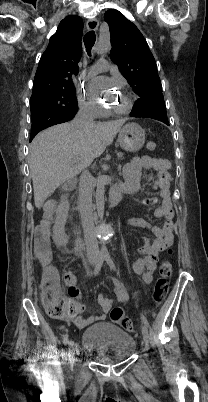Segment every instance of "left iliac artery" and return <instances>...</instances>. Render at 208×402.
Returning a JSON list of instances; mask_svg holds the SVG:
<instances>
[{
	"label": "left iliac artery",
	"instance_id": "left-iliac-artery-1",
	"mask_svg": "<svg viewBox=\"0 0 208 402\" xmlns=\"http://www.w3.org/2000/svg\"><path fill=\"white\" fill-rule=\"evenodd\" d=\"M105 258H106V261H107L109 267H110L112 270L116 271L117 274H119V272L117 271L116 266H115L114 262L112 261L111 257L107 254V255L105 256ZM141 318H142V321L144 322V324L149 328V323H148L146 317H145L143 314H141Z\"/></svg>",
	"mask_w": 208,
	"mask_h": 402
}]
</instances>
